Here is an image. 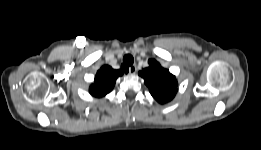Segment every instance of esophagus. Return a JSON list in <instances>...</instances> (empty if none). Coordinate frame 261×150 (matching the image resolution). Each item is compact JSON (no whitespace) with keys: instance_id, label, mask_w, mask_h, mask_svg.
<instances>
[{"instance_id":"1","label":"esophagus","mask_w":261,"mask_h":150,"mask_svg":"<svg viewBox=\"0 0 261 150\" xmlns=\"http://www.w3.org/2000/svg\"><path fill=\"white\" fill-rule=\"evenodd\" d=\"M137 71L136 65H132L129 67V74L134 75Z\"/></svg>"}]
</instances>
